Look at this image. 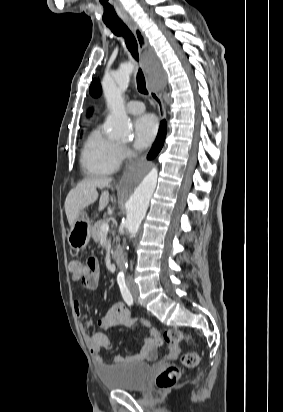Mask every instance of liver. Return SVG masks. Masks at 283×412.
Returning <instances> with one entry per match:
<instances>
[{"label":"liver","instance_id":"6515ba94","mask_svg":"<svg viewBox=\"0 0 283 412\" xmlns=\"http://www.w3.org/2000/svg\"><path fill=\"white\" fill-rule=\"evenodd\" d=\"M112 179L107 177L84 179L72 189L65 200V212L69 225L77 220L80 212L93 204L98 199L97 188L104 189L111 183ZM109 202L108 192H104L100 198L99 209L103 210Z\"/></svg>","mask_w":283,"mask_h":412}]
</instances>
